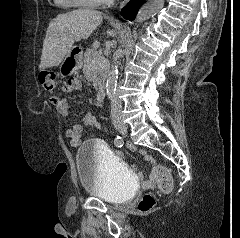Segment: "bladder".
Instances as JSON below:
<instances>
[{"label": "bladder", "instance_id": "bladder-1", "mask_svg": "<svg viewBox=\"0 0 240 238\" xmlns=\"http://www.w3.org/2000/svg\"><path fill=\"white\" fill-rule=\"evenodd\" d=\"M78 180L90 195L109 203H125L137 190L130 168L104 143L87 140L75 156Z\"/></svg>", "mask_w": 240, "mask_h": 238}]
</instances>
